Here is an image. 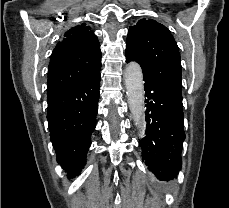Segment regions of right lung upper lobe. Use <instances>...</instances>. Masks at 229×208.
Instances as JSON below:
<instances>
[{
    "label": "right lung upper lobe",
    "mask_w": 229,
    "mask_h": 208,
    "mask_svg": "<svg viewBox=\"0 0 229 208\" xmlns=\"http://www.w3.org/2000/svg\"><path fill=\"white\" fill-rule=\"evenodd\" d=\"M53 52L48 67L47 98L91 77L101 67L100 43L85 24L67 31Z\"/></svg>",
    "instance_id": "cb5924a9"
}]
</instances>
